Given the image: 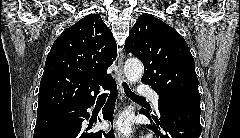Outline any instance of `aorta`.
I'll return each instance as SVG.
<instances>
[{
	"mask_svg": "<svg viewBox=\"0 0 240 138\" xmlns=\"http://www.w3.org/2000/svg\"><path fill=\"white\" fill-rule=\"evenodd\" d=\"M143 65L135 58L128 59L124 65V74L130 83L139 81L143 76Z\"/></svg>",
	"mask_w": 240,
	"mask_h": 138,
	"instance_id": "762f6f07",
	"label": "aorta"
}]
</instances>
